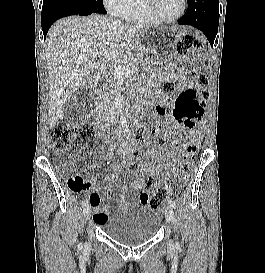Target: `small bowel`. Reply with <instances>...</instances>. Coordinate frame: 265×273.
Returning <instances> with one entry per match:
<instances>
[{
    "mask_svg": "<svg viewBox=\"0 0 265 273\" xmlns=\"http://www.w3.org/2000/svg\"><path fill=\"white\" fill-rule=\"evenodd\" d=\"M178 62L182 63L184 62L183 58H179ZM177 80L179 81V84L183 89H191L192 85L191 83L183 76V75H177ZM171 100L167 97H161L160 98V104L157 106L159 109H163V105L170 102ZM163 115V121H162V126L160 130L156 133L162 134L169 138L171 141H174L176 139V136L178 133H181L184 131L183 127L177 125L175 127V131L172 130L171 124L173 123V120L170 115L165 114V112L162 113ZM199 133V132H198ZM200 136V135H199ZM121 154L126 157V159H131L132 156V150L131 149H126L121 152ZM146 155L149 158H157L160 155H163L165 157V163L157 164V165H152V164H144L140 167V172L142 175H148V174H154L158 178L163 179L166 177H170L174 170L175 166L179 161V152L178 150L168 146L164 148L161 151H153V150H148L146 152ZM122 172V167L120 165H114L112 167V170L108 177L104 178V182L108 185L115 184L118 180V177L120 173ZM82 178V177H81ZM83 179V178H82ZM85 186L84 189H90L92 187V183L90 181H87L83 179ZM131 187L133 191L136 193V199H134V204H150V199H149V192L148 190H142V180L141 178H135L132 181ZM90 205L94 208V215H93V220L96 225H101L105 221H107L108 215L110 213L109 209L102 208V197L98 193H92L89 197ZM117 207L120 208H125L127 207V201L124 198H120L117 201Z\"/></svg>",
    "mask_w": 265,
    "mask_h": 273,
    "instance_id": "1",
    "label": "small bowel"
}]
</instances>
